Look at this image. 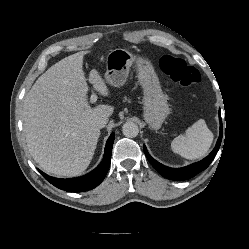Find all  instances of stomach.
<instances>
[{
	"instance_id": "0dacf381",
	"label": "stomach",
	"mask_w": 249,
	"mask_h": 249,
	"mask_svg": "<svg viewBox=\"0 0 249 249\" xmlns=\"http://www.w3.org/2000/svg\"><path fill=\"white\" fill-rule=\"evenodd\" d=\"M134 63L139 83L143 88L144 119L152 129L158 130L170 109L167 97L163 93L159 79L148 59L136 56L126 49H114L106 58L105 79L114 87L122 86Z\"/></svg>"
}]
</instances>
